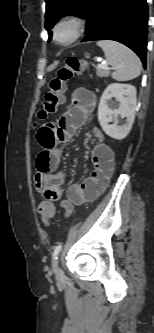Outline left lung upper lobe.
I'll use <instances>...</instances> for the list:
<instances>
[{"label":"left lung upper lobe","mask_w":154,"mask_h":333,"mask_svg":"<svg viewBox=\"0 0 154 333\" xmlns=\"http://www.w3.org/2000/svg\"><path fill=\"white\" fill-rule=\"evenodd\" d=\"M97 0H45V28L49 31L54 24L63 16L79 15L86 18ZM51 38V37H50Z\"/></svg>","instance_id":"1"}]
</instances>
